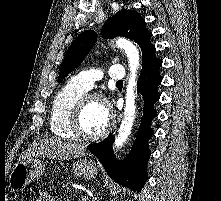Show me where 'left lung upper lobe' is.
Returning <instances> with one entry per match:
<instances>
[{
    "label": "left lung upper lobe",
    "mask_w": 221,
    "mask_h": 201,
    "mask_svg": "<svg viewBox=\"0 0 221 201\" xmlns=\"http://www.w3.org/2000/svg\"><path fill=\"white\" fill-rule=\"evenodd\" d=\"M101 35L108 39L116 36L134 40L142 51V67L156 57L155 46L150 43L152 33L148 31L142 16L133 10H122L108 18L102 27ZM96 42L94 31L82 32L70 45L59 73L58 81H62L71 71L77 68Z\"/></svg>",
    "instance_id": "obj_1"
}]
</instances>
